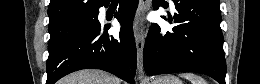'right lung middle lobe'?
Returning a JSON list of instances; mask_svg holds the SVG:
<instances>
[{"label": "right lung middle lobe", "mask_w": 260, "mask_h": 84, "mask_svg": "<svg viewBox=\"0 0 260 84\" xmlns=\"http://www.w3.org/2000/svg\"><path fill=\"white\" fill-rule=\"evenodd\" d=\"M100 25L98 12L80 16L60 26L49 28V53L53 52L69 37L83 31H90Z\"/></svg>", "instance_id": "dd1d6c3e"}]
</instances>
